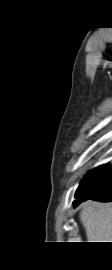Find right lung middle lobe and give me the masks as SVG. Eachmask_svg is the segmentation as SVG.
<instances>
[{
    "label": "right lung middle lobe",
    "mask_w": 112,
    "mask_h": 270,
    "mask_svg": "<svg viewBox=\"0 0 112 270\" xmlns=\"http://www.w3.org/2000/svg\"><path fill=\"white\" fill-rule=\"evenodd\" d=\"M97 168H98V167H97ZM97 168L91 170L86 176L90 175V174H91L92 172H94ZM86 176H85V177H86ZM82 193H83V189H82V185H81V183H80L79 188L77 189V191H76V193H75V197L77 198V197L81 196Z\"/></svg>",
    "instance_id": "dd1d6c3e"
}]
</instances>
